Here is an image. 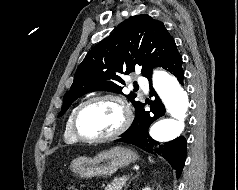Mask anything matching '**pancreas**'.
<instances>
[{
  "mask_svg": "<svg viewBox=\"0 0 238 190\" xmlns=\"http://www.w3.org/2000/svg\"><path fill=\"white\" fill-rule=\"evenodd\" d=\"M126 180H121V178H116L113 180L111 184H108L105 187V190H122V188L125 186Z\"/></svg>",
  "mask_w": 238,
  "mask_h": 190,
  "instance_id": "1",
  "label": "pancreas"
}]
</instances>
